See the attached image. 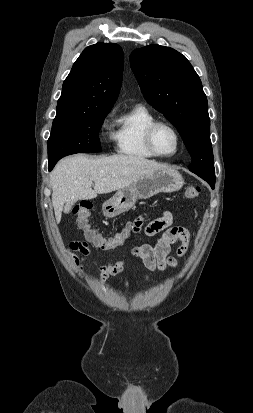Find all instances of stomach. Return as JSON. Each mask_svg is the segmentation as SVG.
Segmentation results:
<instances>
[{"mask_svg": "<svg viewBox=\"0 0 253 413\" xmlns=\"http://www.w3.org/2000/svg\"><path fill=\"white\" fill-rule=\"evenodd\" d=\"M183 185V177L178 171L172 168L161 169L141 176L130 186L118 190L111 199L104 202L102 210L105 216L115 217L131 209L138 199H147L161 192H176Z\"/></svg>", "mask_w": 253, "mask_h": 413, "instance_id": "1", "label": "stomach"}]
</instances>
